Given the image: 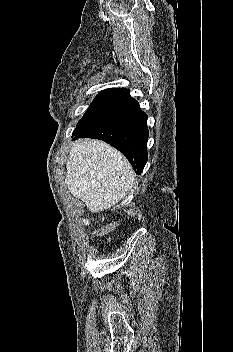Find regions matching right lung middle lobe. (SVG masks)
Instances as JSON below:
<instances>
[{
  "instance_id": "obj_1",
  "label": "right lung middle lobe",
  "mask_w": 233,
  "mask_h": 352,
  "mask_svg": "<svg viewBox=\"0 0 233 352\" xmlns=\"http://www.w3.org/2000/svg\"><path fill=\"white\" fill-rule=\"evenodd\" d=\"M130 97L131 96L128 89L113 88L101 91L93 100L84 116L79 120L74 132L90 123L92 120H94L96 117L108 109L126 99H129Z\"/></svg>"
}]
</instances>
